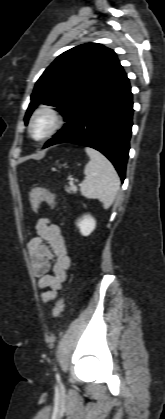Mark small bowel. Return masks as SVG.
<instances>
[{
  "label": "small bowel",
  "instance_id": "small-bowel-1",
  "mask_svg": "<svg viewBox=\"0 0 165 419\" xmlns=\"http://www.w3.org/2000/svg\"><path fill=\"white\" fill-rule=\"evenodd\" d=\"M36 234L27 248L38 287L47 289L41 296L47 302L54 299L67 281L71 257L60 227L48 218L37 221Z\"/></svg>",
  "mask_w": 165,
  "mask_h": 419
}]
</instances>
